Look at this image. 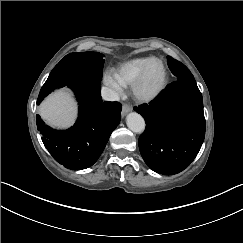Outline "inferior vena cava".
Returning a JSON list of instances; mask_svg holds the SVG:
<instances>
[{
    "instance_id": "obj_1",
    "label": "inferior vena cava",
    "mask_w": 243,
    "mask_h": 243,
    "mask_svg": "<svg viewBox=\"0 0 243 243\" xmlns=\"http://www.w3.org/2000/svg\"><path fill=\"white\" fill-rule=\"evenodd\" d=\"M101 95L102 98L107 101H119L120 99L118 94L108 87H102Z\"/></svg>"
}]
</instances>
